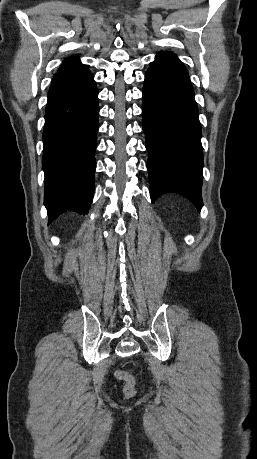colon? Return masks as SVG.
I'll use <instances>...</instances> for the list:
<instances>
[{
    "label": "colon",
    "mask_w": 257,
    "mask_h": 459,
    "mask_svg": "<svg viewBox=\"0 0 257 459\" xmlns=\"http://www.w3.org/2000/svg\"><path fill=\"white\" fill-rule=\"evenodd\" d=\"M115 377L118 380H122L125 382L123 392L126 397H132L135 394V380L133 376L124 370H118L115 373Z\"/></svg>",
    "instance_id": "obj_1"
}]
</instances>
